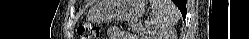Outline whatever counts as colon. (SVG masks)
<instances>
[{
	"label": "colon",
	"mask_w": 249,
	"mask_h": 39,
	"mask_svg": "<svg viewBox=\"0 0 249 39\" xmlns=\"http://www.w3.org/2000/svg\"><path fill=\"white\" fill-rule=\"evenodd\" d=\"M80 39H97L99 38V29L89 23H81L77 28Z\"/></svg>",
	"instance_id": "obj_1"
}]
</instances>
